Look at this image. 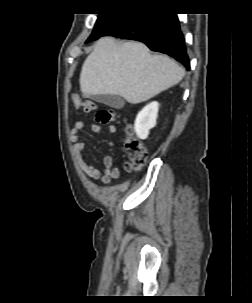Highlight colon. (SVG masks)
<instances>
[{
    "label": "colon",
    "mask_w": 252,
    "mask_h": 303,
    "mask_svg": "<svg viewBox=\"0 0 252 303\" xmlns=\"http://www.w3.org/2000/svg\"><path fill=\"white\" fill-rule=\"evenodd\" d=\"M72 103L76 109L91 110L96 107L93 101L82 102L78 96L72 98ZM96 120L101 124H108L114 120V112L101 109L97 112ZM124 150L128 159L125 168L128 171L138 169L147 159V151L143 143L135 137L132 127H128L126 130Z\"/></svg>",
    "instance_id": "colon-1"
}]
</instances>
